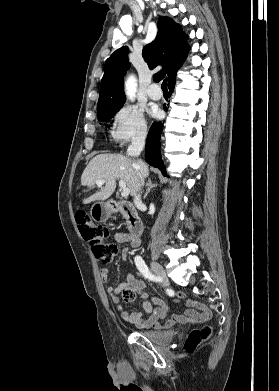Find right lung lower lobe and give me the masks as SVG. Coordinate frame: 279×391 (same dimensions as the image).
Instances as JSON below:
<instances>
[{"instance_id": "right-lung-lower-lobe-1", "label": "right lung lower lobe", "mask_w": 279, "mask_h": 391, "mask_svg": "<svg viewBox=\"0 0 279 391\" xmlns=\"http://www.w3.org/2000/svg\"><path fill=\"white\" fill-rule=\"evenodd\" d=\"M175 82L169 85V93L174 90ZM163 129V124L160 122H154L151 126L146 145V161L161 170L163 175H166L165 166L161 159L160 154V137Z\"/></svg>"}]
</instances>
